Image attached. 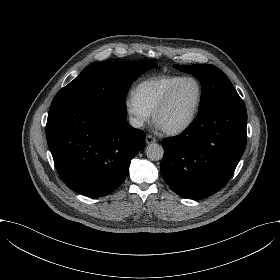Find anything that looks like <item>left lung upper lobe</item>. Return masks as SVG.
<instances>
[{"label": "left lung upper lobe", "instance_id": "left-lung-upper-lobe-1", "mask_svg": "<svg viewBox=\"0 0 280 280\" xmlns=\"http://www.w3.org/2000/svg\"><path fill=\"white\" fill-rule=\"evenodd\" d=\"M175 68L193 74L202 86L199 113L214 105L239 97L227 76L216 66L210 64L174 65Z\"/></svg>", "mask_w": 280, "mask_h": 280}]
</instances>
